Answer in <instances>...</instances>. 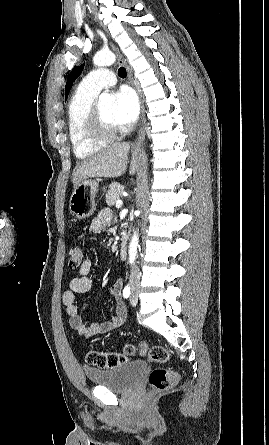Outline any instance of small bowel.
Returning <instances> with one entry per match:
<instances>
[{
    "label": "small bowel",
    "instance_id": "c3829d8e",
    "mask_svg": "<svg viewBox=\"0 0 269 445\" xmlns=\"http://www.w3.org/2000/svg\"><path fill=\"white\" fill-rule=\"evenodd\" d=\"M112 220V213L109 209H103L91 221L90 231L93 233H100L103 228ZM92 269L91 260H85L78 268V276L74 277L69 282V289L62 294V302L66 308L69 317V324L73 330L84 337H96L105 334L109 331L121 327L127 319V308L122 301L121 291L124 285L122 278L117 279L110 288V293L115 298V315L102 323L86 324L75 304V295L77 293H86L93 287V279L90 276Z\"/></svg>",
    "mask_w": 269,
    "mask_h": 445
}]
</instances>
